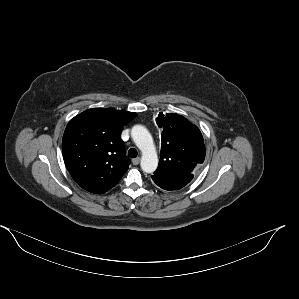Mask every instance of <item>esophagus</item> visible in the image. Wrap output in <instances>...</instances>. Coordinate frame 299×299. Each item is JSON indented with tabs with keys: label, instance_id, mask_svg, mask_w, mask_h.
Returning <instances> with one entry per match:
<instances>
[{
	"label": "esophagus",
	"instance_id": "34e87169",
	"mask_svg": "<svg viewBox=\"0 0 299 299\" xmlns=\"http://www.w3.org/2000/svg\"><path fill=\"white\" fill-rule=\"evenodd\" d=\"M132 163H133V165H138V164L140 163V158H139V157L134 158V159L132 160Z\"/></svg>",
	"mask_w": 299,
	"mask_h": 299
}]
</instances>
